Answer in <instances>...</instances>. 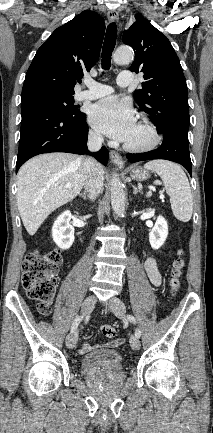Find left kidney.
<instances>
[{
    "label": "left kidney",
    "mask_w": 213,
    "mask_h": 433,
    "mask_svg": "<svg viewBox=\"0 0 213 433\" xmlns=\"http://www.w3.org/2000/svg\"><path fill=\"white\" fill-rule=\"evenodd\" d=\"M168 236V224L165 218L158 216L154 227L149 232V242L153 249H159Z\"/></svg>",
    "instance_id": "5707ae66"
}]
</instances>
